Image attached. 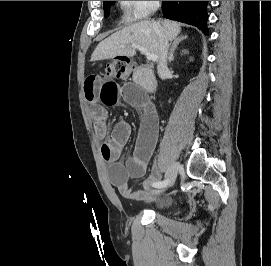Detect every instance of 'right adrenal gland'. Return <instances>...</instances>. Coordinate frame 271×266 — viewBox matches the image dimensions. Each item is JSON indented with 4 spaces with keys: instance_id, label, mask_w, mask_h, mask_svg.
Returning <instances> with one entry per match:
<instances>
[{
    "instance_id": "1",
    "label": "right adrenal gland",
    "mask_w": 271,
    "mask_h": 266,
    "mask_svg": "<svg viewBox=\"0 0 271 266\" xmlns=\"http://www.w3.org/2000/svg\"><path fill=\"white\" fill-rule=\"evenodd\" d=\"M188 36L185 35V36H179V37H176L174 38V41H173V44H172V47L170 49V52H169V57H168V62L171 63L173 60H174V51L177 47V45L182 41V40H185Z\"/></svg>"
}]
</instances>
